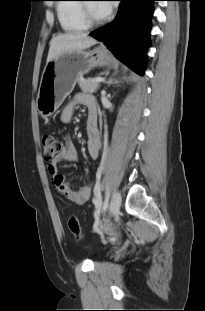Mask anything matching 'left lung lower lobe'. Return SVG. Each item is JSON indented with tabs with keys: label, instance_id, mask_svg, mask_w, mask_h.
Returning <instances> with one entry per match:
<instances>
[{
	"label": "left lung lower lobe",
	"instance_id": "obj_1",
	"mask_svg": "<svg viewBox=\"0 0 205 311\" xmlns=\"http://www.w3.org/2000/svg\"><path fill=\"white\" fill-rule=\"evenodd\" d=\"M120 1L122 3L114 21L91 32L90 35L104 42L119 60L139 75H143L145 49L149 46L150 18L153 1L156 0Z\"/></svg>",
	"mask_w": 205,
	"mask_h": 311
}]
</instances>
